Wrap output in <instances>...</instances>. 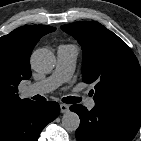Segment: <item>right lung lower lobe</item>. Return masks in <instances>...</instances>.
I'll return each mask as SVG.
<instances>
[{"mask_svg":"<svg viewBox=\"0 0 141 141\" xmlns=\"http://www.w3.org/2000/svg\"><path fill=\"white\" fill-rule=\"evenodd\" d=\"M59 113L60 106L54 101L27 102L0 118V141H37Z\"/></svg>","mask_w":141,"mask_h":141,"instance_id":"right-lung-lower-lobe-1","label":"right lung lower lobe"}]
</instances>
